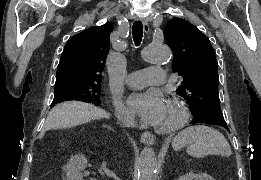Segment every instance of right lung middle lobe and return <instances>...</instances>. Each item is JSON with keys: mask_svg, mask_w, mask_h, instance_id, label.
<instances>
[{"mask_svg": "<svg viewBox=\"0 0 261 180\" xmlns=\"http://www.w3.org/2000/svg\"><path fill=\"white\" fill-rule=\"evenodd\" d=\"M101 82L69 81L55 85L52 105L64 101L77 100L95 105L100 104Z\"/></svg>", "mask_w": 261, "mask_h": 180, "instance_id": "1", "label": "right lung middle lobe"}]
</instances>
